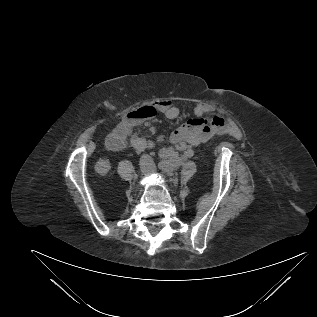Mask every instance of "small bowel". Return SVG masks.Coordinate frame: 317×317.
<instances>
[{
  "instance_id": "obj_1",
  "label": "small bowel",
  "mask_w": 317,
  "mask_h": 317,
  "mask_svg": "<svg viewBox=\"0 0 317 317\" xmlns=\"http://www.w3.org/2000/svg\"><path fill=\"white\" fill-rule=\"evenodd\" d=\"M155 107L168 119H176L180 115V109L169 99H161L155 102ZM211 107L206 103H197L192 109L193 117L177 127L171 134V143L177 148L181 159H189L194 155L193 147L209 141L217 134L235 133L237 128L225 121L222 116L206 117ZM135 122L124 120L107 138V147L112 151L123 150L127 140L138 151L152 148L163 140L160 136L156 141L146 140L134 133ZM113 137L121 139L117 147L111 145ZM160 155L164 159L176 158L177 154L172 147L161 149ZM178 163L179 160H174Z\"/></svg>"
}]
</instances>
